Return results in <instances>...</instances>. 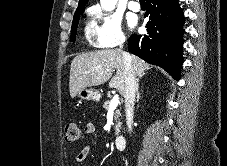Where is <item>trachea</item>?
<instances>
[{"label": "trachea", "mask_w": 227, "mask_h": 166, "mask_svg": "<svg viewBox=\"0 0 227 166\" xmlns=\"http://www.w3.org/2000/svg\"><path fill=\"white\" fill-rule=\"evenodd\" d=\"M140 1V3H144L145 1L144 0H139Z\"/></svg>", "instance_id": "trachea-1"}]
</instances>
